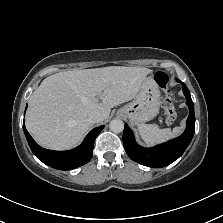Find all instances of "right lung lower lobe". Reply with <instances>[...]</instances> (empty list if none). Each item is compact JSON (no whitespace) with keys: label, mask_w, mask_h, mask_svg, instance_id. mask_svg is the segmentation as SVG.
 <instances>
[{"label":"right lung lower lobe","mask_w":223,"mask_h":223,"mask_svg":"<svg viewBox=\"0 0 223 223\" xmlns=\"http://www.w3.org/2000/svg\"><path fill=\"white\" fill-rule=\"evenodd\" d=\"M104 126L93 129L77 148L69 151H52L40 147L30 136L23 122V130L33 154L43 163L58 170H71L90 161L95 138Z\"/></svg>","instance_id":"1"}]
</instances>
